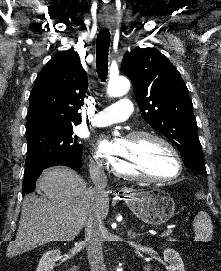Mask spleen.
Instances as JSON below:
<instances>
[{
    "label": "spleen",
    "instance_id": "1",
    "mask_svg": "<svg viewBox=\"0 0 221 271\" xmlns=\"http://www.w3.org/2000/svg\"><path fill=\"white\" fill-rule=\"evenodd\" d=\"M192 225L195 229V241H211L213 223L206 211H198Z\"/></svg>",
    "mask_w": 221,
    "mask_h": 271
}]
</instances>
